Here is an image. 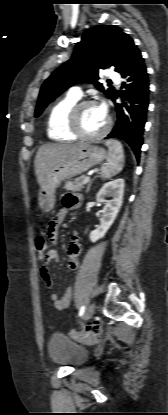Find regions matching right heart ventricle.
<instances>
[{"label": "right heart ventricle", "mask_w": 168, "mask_h": 415, "mask_svg": "<svg viewBox=\"0 0 168 415\" xmlns=\"http://www.w3.org/2000/svg\"><path fill=\"white\" fill-rule=\"evenodd\" d=\"M78 99L65 97L53 106L47 122V134L50 139L58 142L74 141L77 137L70 131L68 125L69 113Z\"/></svg>", "instance_id": "e07e8e85"}]
</instances>
